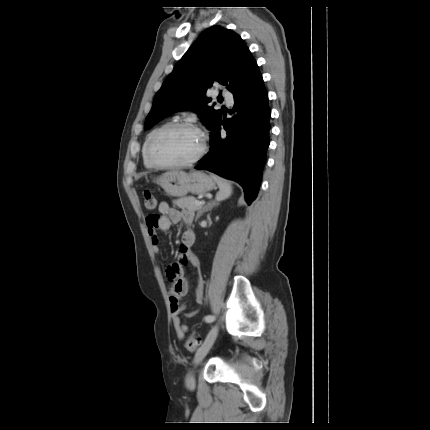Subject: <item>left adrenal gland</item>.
Masks as SVG:
<instances>
[{
  "label": "left adrenal gland",
  "mask_w": 430,
  "mask_h": 430,
  "mask_svg": "<svg viewBox=\"0 0 430 430\" xmlns=\"http://www.w3.org/2000/svg\"><path fill=\"white\" fill-rule=\"evenodd\" d=\"M220 205V203H218V202H215V201H212V202H210V203H208L206 206H204L203 207V209L202 210H200L198 213H197V216H196V220L204 213V212H207V211H211L214 207H217V206H219Z\"/></svg>",
  "instance_id": "left-adrenal-gland-1"
}]
</instances>
